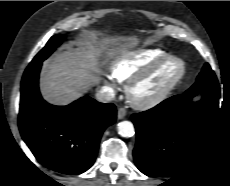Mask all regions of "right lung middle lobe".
Listing matches in <instances>:
<instances>
[{"instance_id": "obj_1", "label": "right lung middle lobe", "mask_w": 230, "mask_h": 186, "mask_svg": "<svg viewBox=\"0 0 230 186\" xmlns=\"http://www.w3.org/2000/svg\"><path fill=\"white\" fill-rule=\"evenodd\" d=\"M65 37L63 35H54L51 39L47 42L45 47L34 57L30 65L42 63L50 54L61 44V41Z\"/></svg>"}]
</instances>
